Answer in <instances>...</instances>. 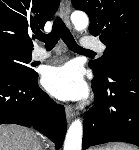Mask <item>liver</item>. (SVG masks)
Instances as JSON below:
<instances>
[{
    "mask_svg": "<svg viewBox=\"0 0 139 150\" xmlns=\"http://www.w3.org/2000/svg\"><path fill=\"white\" fill-rule=\"evenodd\" d=\"M0 150H43L40 137L18 125H0Z\"/></svg>",
    "mask_w": 139,
    "mask_h": 150,
    "instance_id": "1",
    "label": "liver"
}]
</instances>
